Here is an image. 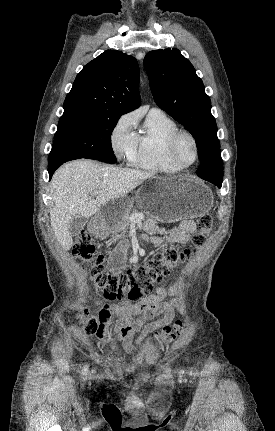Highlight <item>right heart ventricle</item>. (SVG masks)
<instances>
[{
    "label": "right heart ventricle",
    "mask_w": 275,
    "mask_h": 431,
    "mask_svg": "<svg viewBox=\"0 0 275 431\" xmlns=\"http://www.w3.org/2000/svg\"><path fill=\"white\" fill-rule=\"evenodd\" d=\"M179 129L177 123L160 109H151L137 134L133 166L156 173H175L181 170L168 157L167 144Z\"/></svg>",
    "instance_id": "e07e8e85"
}]
</instances>
